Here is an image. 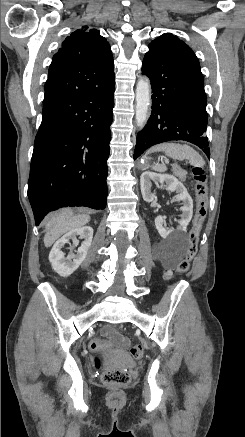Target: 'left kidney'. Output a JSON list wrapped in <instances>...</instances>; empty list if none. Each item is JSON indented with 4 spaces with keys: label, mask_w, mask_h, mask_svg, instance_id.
Masks as SVG:
<instances>
[{
    "label": "left kidney",
    "mask_w": 245,
    "mask_h": 437,
    "mask_svg": "<svg viewBox=\"0 0 245 437\" xmlns=\"http://www.w3.org/2000/svg\"><path fill=\"white\" fill-rule=\"evenodd\" d=\"M151 181H158L161 185L165 183L166 190L171 192L175 191L177 194L176 200L181 201L183 204L180 208V211L182 212L181 219L178 222L179 225L176 230H166L163 227V218L161 216L155 218V226L158 233L164 239L171 238L177 240L182 238L185 235L187 225L193 216V200L191 196L187 192L185 186L174 176L145 171L140 177V186L142 197L146 202H152L156 199V193L151 191Z\"/></svg>",
    "instance_id": "left-kidney-1"
}]
</instances>
